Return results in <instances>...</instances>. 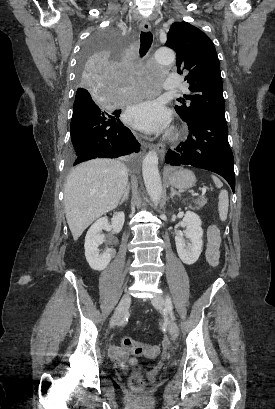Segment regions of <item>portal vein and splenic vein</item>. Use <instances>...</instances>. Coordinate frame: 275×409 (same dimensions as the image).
Returning a JSON list of instances; mask_svg holds the SVG:
<instances>
[{
	"mask_svg": "<svg viewBox=\"0 0 275 409\" xmlns=\"http://www.w3.org/2000/svg\"><path fill=\"white\" fill-rule=\"evenodd\" d=\"M205 192H206V186H203V188H202V194H205Z\"/></svg>",
	"mask_w": 275,
	"mask_h": 409,
	"instance_id": "obj_1",
	"label": "portal vein and splenic vein"
}]
</instances>
